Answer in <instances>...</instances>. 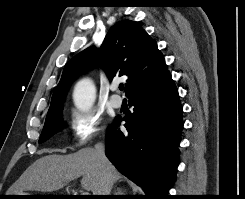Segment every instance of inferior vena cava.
<instances>
[{
  "instance_id": "602c4592",
  "label": "inferior vena cava",
  "mask_w": 245,
  "mask_h": 199,
  "mask_svg": "<svg viewBox=\"0 0 245 199\" xmlns=\"http://www.w3.org/2000/svg\"><path fill=\"white\" fill-rule=\"evenodd\" d=\"M95 151L97 153V156L102 164L103 167V174H102V185L101 190L98 193V195H110L112 183H111V175L108 171V159L105 155V146L103 143H97L95 145Z\"/></svg>"
}]
</instances>
